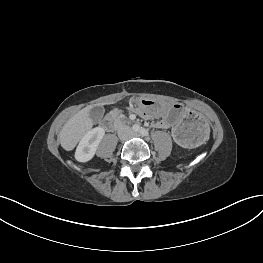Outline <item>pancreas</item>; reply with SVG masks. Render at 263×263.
Returning a JSON list of instances; mask_svg holds the SVG:
<instances>
[{
	"instance_id": "1",
	"label": "pancreas",
	"mask_w": 263,
	"mask_h": 263,
	"mask_svg": "<svg viewBox=\"0 0 263 263\" xmlns=\"http://www.w3.org/2000/svg\"><path fill=\"white\" fill-rule=\"evenodd\" d=\"M115 117L117 118V122H122L126 119L124 116H119V115H116Z\"/></svg>"
}]
</instances>
